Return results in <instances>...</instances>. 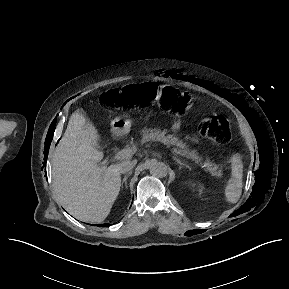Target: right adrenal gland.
<instances>
[{
  "label": "right adrenal gland",
  "mask_w": 289,
  "mask_h": 289,
  "mask_svg": "<svg viewBox=\"0 0 289 289\" xmlns=\"http://www.w3.org/2000/svg\"><path fill=\"white\" fill-rule=\"evenodd\" d=\"M132 172H129L128 174H126L122 180V185L124 184L125 187H127V178L131 175Z\"/></svg>",
  "instance_id": "obj_1"
}]
</instances>
